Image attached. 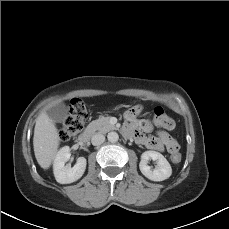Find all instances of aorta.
<instances>
[{"instance_id": "1", "label": "aorta", "mask_w": 229, "mask_h": 229, "mask_svg": "<svg viewBox=\"0 0 229 229\" xmlns=\"http://www.w3.org/2000/svg\"><path fill=\"white\" fill-rule=\"evenodd\" d=\"M108 141L111 143H115L119 139V135L116 132H110L107 135Z\"/></svg>"}]
</instances>
